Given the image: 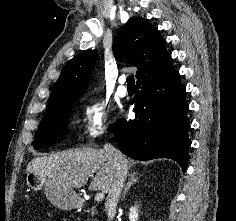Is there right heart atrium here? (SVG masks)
Here are the masks:
<instances>
[{
    "label": "right heart atrium",
    "instance_id": "obj_1",
    "mask_svg": "<svg viewBox=\"0 0 236 221\" xmlns=\"http://www.w3.org/2000/svg\"><path fill=\"white\" fill-rule=\"evenodd\" d=\"M110 125V109L101 101L92 99L84 106V133L85 136L94 140L104 133Z\"/></svg>",
    "mask_w": 236,
    "mask_h": 221
}]
</instances>
